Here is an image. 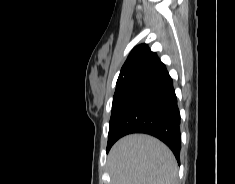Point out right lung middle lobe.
<instances>
[{"label": "right lung middle lobe", "instance_id": "dd1d6c3e", "mask_svg": "<svg viewBox=\"0 0 235 184\" xmlns=\"http://www.w3.org/2000/svg\"><path fill=\"white\" fill-rule=\"evenodd\" d=\"M124 93H125V90H116L115 91V94H114V97H113V103H112L111 118L113 117V115H114V113H115V111H116V109L119 105V102L121 101L122 96H123ZM112 144H113L112 136H111V134H109L108 144H107V152L111 148Z\"/></svg>", "mask_w": 235, "mask_h": 184}]
</instances>
